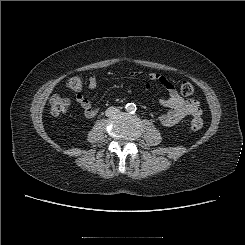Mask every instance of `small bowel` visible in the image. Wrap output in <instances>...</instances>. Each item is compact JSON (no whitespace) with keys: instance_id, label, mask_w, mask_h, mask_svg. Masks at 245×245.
Segmentation results:
<instances>
[{"instance_id":"c3829d8e","label":"small bowel","mask_w":245,"mask_h":245,"mask_svg":"<svg viewBox=\"0 0 245 245\" xmlns=\"http://www.w3.org/2000/svg\"><path fill=\"white\" fill-rule=\"evenodd\" d=\"M141 72L135 71L132 73L133 77H138ZM162 85L168 92V98L161 99L162 106L167 107L168 110L158 116L159 122L165 127H171L178 124L186 116H198L201 114V108L198 101L194 99H185L176 89L174 84L165 76L159 73L149 74V83L146 89H150L153 84ZM88 87L94 90L97 87V78L92 75L88 78ZM76 101L83 110L85 117L91 119L97 115V110L93 107L91 102L82 94L76 95Z\"/></svg>"}]
</instances>
